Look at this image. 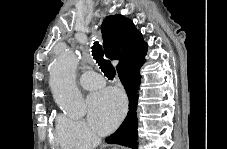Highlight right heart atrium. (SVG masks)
Segmentation results:
<instances>
[{
	"instance_id": "d8ad5b80",
	"label": "right heart atrium",
	"mask_w": 227,
	"mask_h": 149,
	"mask_svg": "<svg viewBox=\"0 0 227 149\" xmlns=\"http://www.w3.org/2000/svg\"><path fill=\"white\" fill-rule=\"evenodd\" d=\"M58 123L62 139L68 146L82 148L93 146L97 143L96 135L85 121L60 115Z\"/></svg>"
}]
</instances>
